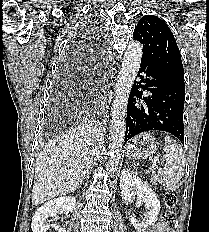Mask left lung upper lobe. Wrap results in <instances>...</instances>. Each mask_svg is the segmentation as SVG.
I'll list each match as a JSON object with an SVG mask.
<instances>
[{"mask_svg": "<svg viewBox=\"0 0 209 232\" xmlns=\"http://www.w3.org/2000/svg\"><path fill=\"white\" fill-rule=\"evenodd\" d=\"M143 44L142 60L160 73L184 81V70L176 40L168 25L154 15L143 16L133 33Z\"/></svg>", "mask_w": 209, "mask_h": 232, "instance_id": "5c2ea615", "label": "left lung upper lobe"}]
</instances>
